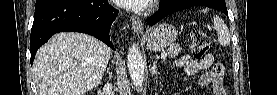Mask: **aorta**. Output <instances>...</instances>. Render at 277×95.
<instances>
[{
    "instance_id": "762f6f07",
    "label": "aorta",
    "mask_w": 277,
    "mask_h": 95,
    "mask_svg": "<svg viewBox=\"0 0 277 95\" xmlns=\"http://www.w3.org/2000/svg\"><path fill=\"white\" fill-rule=\"evenodd\" d=\"M127 67L133 84L141 88L144 81L145 62L136 44H133L129 49Z\"/></svg>"
}]
</instances>
